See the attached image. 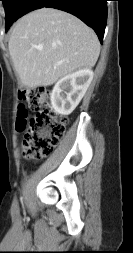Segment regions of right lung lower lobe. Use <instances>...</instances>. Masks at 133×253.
Returning a JSON list of instances; mask_svg holds the SVG:
<instances>
[{
  "label": "right lung lower lobe",
  "mask_w": 133,
  "mask_h": 253,
  "mask_svg": "<svg viewBox=\"0 0 133 253\" xmlns=\"http://www.w3.org/2000/svg\"><path fill=\"white\" fill-rule=\"evenodd\" d=\"M51 7L71 13L91 27L103 42L107 22V0H24L17 19L35 9Z\"/></svg>",
  "instance_id": "98d812e1"
}]
</instances>
